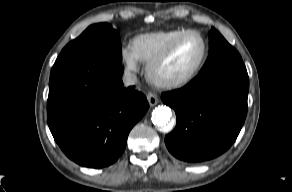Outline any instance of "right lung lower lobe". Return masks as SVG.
<instances>
[{
    "label": "right lung lower lobe",
    "mask_w": 292,
    "mask_h": 192,
    "mask_svg": "<svg viewBox=\"0 0 292 192\" xmlns=\"http://www.w3.org/2000/svg\"><path fill=\"white\" fill-rule=\"evenodd\" d=\"M119 62L103 54L59 56L49 81L47 121L62 151L90 168L114 163L144 116L146 97L125 88Z\"/></svg>",
    "instance_id": "1"
}]
</instances>
